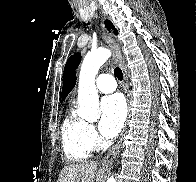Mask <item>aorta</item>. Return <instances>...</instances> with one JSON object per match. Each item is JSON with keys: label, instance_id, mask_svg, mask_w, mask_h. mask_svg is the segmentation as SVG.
<instances>
[{"label": "aorta", "instance_id": "aorta-1", "mask_svg": "<svg viewBox=\"0 0 196 182\" xmlns=\"http://www.w3.org/2000/svg\"><path fill=\"white\" fill-rule=\"evenodd\" d=\"M111 52L105 48H99L89 52L82 63L79 86L77 114L80 118L95 122L100 118L98 91L95 86V78L100 67L109 59ZM107 182H115L111 176Z\"/></svg>", "mask_w": 196, "mask_h": 182}]
</instances>
